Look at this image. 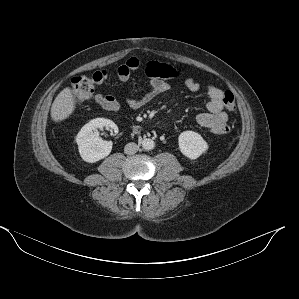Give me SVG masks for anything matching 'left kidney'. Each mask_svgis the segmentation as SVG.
Here are the masks:
<instances>
[{"label": "left kidney", "mask_w": 299, "mask_h": 299, "mask_svg": "<svg viewBox=\"0 0 299 299\" xmlns=\"http://www.w3.org/2000/svg\"><path fill=\"white\" fill-rule=\"evenodd\" d=\"M181 153L189 159H197L208 150L207 142L194 131H184L178 137Z\"/></svg>", "instance_id": "obj_1"}]
</instances>
